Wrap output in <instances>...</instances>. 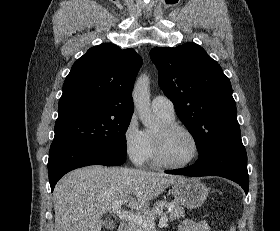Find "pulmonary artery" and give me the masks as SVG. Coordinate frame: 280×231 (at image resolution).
I'll list each match as a JSON object with an SVG mask.
<instances>
[{
  "label": "pulmonary artery",
  "instance_id": "pulmonary-artery-1",
  "mask_svg": "<svg viewBox=\"0 0 280 231\" xmlns=\"http://www.w3.org/2000/svg\"><path fill=\"white\" fill-rule=\"evenodd\" d=\"M151 107L156 113L167 117H175V108L173 102L165 96H156L152 102Z\"/></svg>",
  "mask_w": 280,
  "mask_h": 231
}]
</instances>
